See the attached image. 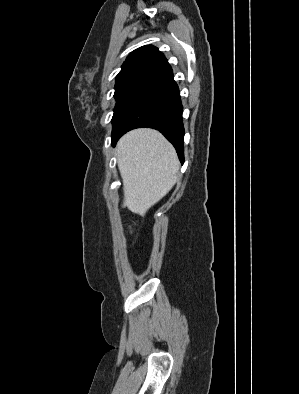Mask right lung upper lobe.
Returning <instances> with one entry per match:
<instances>
[{
  "mask_svg": "<svg viewBox=\"0 0 299 394\" xmlns=\"http://www.w3.org/2000/svg\"><path fill=\"white\" fill-rule=\"evenodd\" d=\"M172 69L158 49L152 45L142 46L129 54L116 76L115 88L142 86L150 88L167 76Z\"/></svg>",
  "mask_w": 299,
  "mask_h": 394,
  "instance_id": "obj_1",
  "label": "right lung upper lobe"
}]
</instances>
